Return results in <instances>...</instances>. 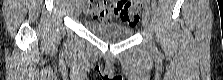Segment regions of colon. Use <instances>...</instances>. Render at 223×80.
Instances as JSON below:
<instances>
[{
    "label": "colon",
    "mask_w": 223,
    "mask_h": 80,
    "mask_svg": "<svg viewBox=\"0 0 223 80\" xmlns=\"http://www.w3.org/2000/svg\"><path fill=\"white\" fill-rule=\"evenodd\" d=\"M151 0H131V1H111V5L114 14L120 16L122 20L128 22L130 25H136L140 20L141 8L144 5L150 4ZM97 3H106L97 2ZM93 3V4H97Z\"/></svg>",
    "instance_id": "1"
}]
</instances>
